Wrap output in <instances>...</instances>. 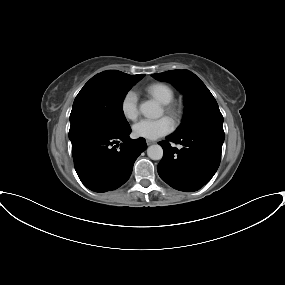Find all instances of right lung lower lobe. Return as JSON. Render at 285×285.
I'll return each mask as SVG.
<instances>
[{"instance_id": "1", "label": "right lung lower lobe", "mask_w": 285, "mask_h": 285, "mask_svg": "<svg viewBox=\"0 0 285 285\" xmlns=\"http://www.w3.org/2000/svg\"><path fill=\"white\" fill-rule=\"evenodd\" d=\"M130 132V127L119 133L90 129L70 138L76 172L88 189L111 191L129 179L135 160L147 148L144 138L133 140Z\"/></svg>"}]
</instances>
